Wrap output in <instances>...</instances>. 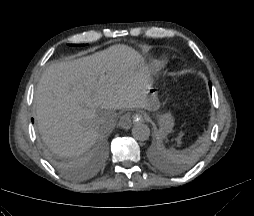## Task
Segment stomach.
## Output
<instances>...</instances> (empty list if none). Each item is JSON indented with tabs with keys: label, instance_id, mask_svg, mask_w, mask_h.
<instances>
[{
	"label": "stomach",
	"instance_id": "stomach-1",
	"mask_svg": "<svg viewBox=\"0 0 254 216\" xmlns=\"http://www.w3.org/2000/svg\"><path fill=\"white\" fill-rule=\"evenodd\" d=\"M158 126H159V133L161 135H167L168 133L173 131L174 127V117L171 112L166 113H159L156 116Z\"/></svg>",
	"mask_w": 254,
	"mask_h": 216
}]
</instances>
